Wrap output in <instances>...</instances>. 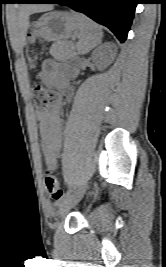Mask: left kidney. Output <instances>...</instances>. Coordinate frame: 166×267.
Returning <instances> with one entry per match:
<instances>
[{"mask_svg": "<svg viewBox=\"0 0 166 267\" xmlns=\"http://www.w3.org/2000/svg\"><path fill=\"white\" fill-rule=\"evenodd\" d=\"M107 45L114 48V46L110 43H108ZM93 61H94L95 65L97 66L98 70H103V69L107 68L112 63L111 58H108L107 56L101 57L98 54L93 55Z\"/></svg>", "mask_w": 166, "mask_h": 267, "instance_id": "left-kidney-1", "label": "left kidney"}]
</instances>
